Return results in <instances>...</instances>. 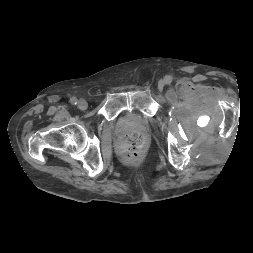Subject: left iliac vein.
I'll return each instance as SVG.
<instances>
[{"label":"left iliac vein","mask_w":253,"mask_h":253,"mask_svg":"<svg viewBox=\"0 0 253 253\" xmlns=\"http://www.w3.org/2000/svg\"><path fill=\"white\" fill-rule=\"evenodd\" d=\"M164 85H165L164 81L161 80V81H159V83H158V88H159V89H163Z\"/></svg>","instance_id":"4c4485c4"}]
</instances>
